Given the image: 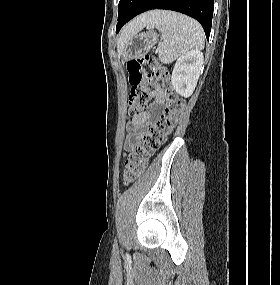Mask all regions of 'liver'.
<instances>
[{
  "label": "liver",
  "mask_w": 280,
  "mask_h": 285,
  "mask_svg": "<svg viewBox=\"0 0 280 285\" xmlns=\"http://www.w3.org/2000/svg\"><path fill=\"white\" fill-rule=\"evenodd\" d=\"M155 17V11L142 14L132 21H130L122 30L119 40L118 47H123L127 40L139 32L143 27H145L150 20Z\"/></svg>",
  "instance_id": "6515ba94"
}]
</instances>
